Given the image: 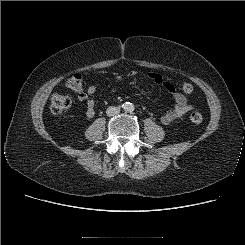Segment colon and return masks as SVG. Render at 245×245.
<instances>
[{
    "label": "colon",
    "instance_id": "5ec220e1",
    "mask_svg": "<svg viewBox=\"0 0 245 245\" xmlns=\"http://www.w3.org/2000/svg\"><path fill=\"white\" fill-rule=\"evenodd\" d=\"M66 87L73 92L81 93L83 91L82 76L80 74L72 75L66 81ZM181 90L184 94L188 95L192 93L193 86L190 83H184L181 87ZM71 103L72 101L68 96L61 95V94H55L51 98L50 110L54 114H60V113L67 111L70 108ZM189 118H190V121L195 125L201 124L203 120L202 115L197 111L192 112Z\"/></svg>",
    "mask_w": 245,
    "mask_h": 245
}]
</instances>
